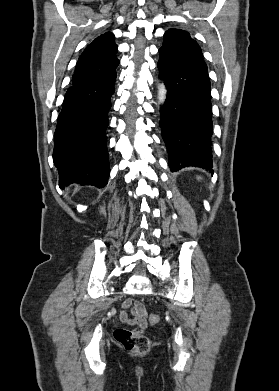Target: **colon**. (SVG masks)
<instances>
[{"mask_svg": "<svg viewBox=\"0 0 279 391\" xmlns=\"http://www.w3.org/2000/svg\"><path fill=\"white\" fill-rule=\"evenodd\" d=\"M159 321V316L151 314L149 322L156 324ZM114 337L128 351L136 353H146L150 348L149 339L140 331H133L127 328H118L114 332Z\"/></svg>", "mask_w": 279, "mask_h": 391, "instance_id": "obj_1", "label": "colon"}]
</instances>
